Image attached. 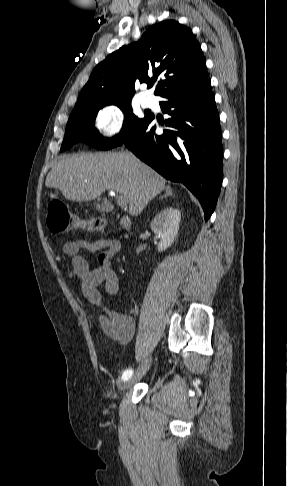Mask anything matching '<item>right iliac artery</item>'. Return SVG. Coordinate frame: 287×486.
I'll return each instance as SVG.
<instances>
[{"label": "right iliac artery", "mask_w": 287, "mask_h": 486, "mask_svg": "<svg viewBox=\"0 0 287 486\" xmlns=\"http://www.w3.org/2000/svg\"><path fill=\"white\" fill-rule=\"evenodd\" d=\"M133 374V370L132 369H127L126 371H124L123 375H122V380L126 381L128 380Z\"/></svg>", "instance_id": "82829eb1"}]
</instances>
